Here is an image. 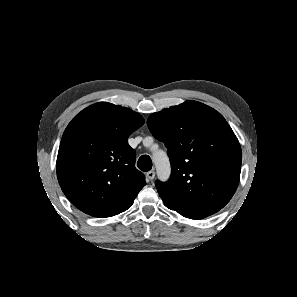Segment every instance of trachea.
Wrapping results in <instances>:
<instances>
[{"mask_svg":"<svg viewBox=\"0 0 297 297\" xmlns=\"http://www.w3.org/2000/svg\"><path fill=\"white\" fill-rule=\"evenodd\" d=\"M137 166L144 172L150 171L152 168V160L148 155H142L137 162Z\"/></svg>","mask_w":297,"mask_h":297,"instance_id":"3493384b","label":"trachea"}]
</instances>
